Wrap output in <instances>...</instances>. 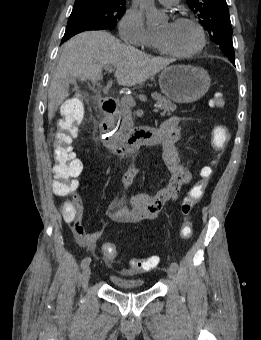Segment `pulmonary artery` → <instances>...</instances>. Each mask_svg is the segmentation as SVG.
Here are the masks:
<instances>
[{"label": "pulmonary artery", "instance_id": "e3ab8cb5", "mask_svg": "<svg viewBox=\"0 0 261 340\" xmlns=\"http://www.w3.org/2000/svg\"><path fill=\"white\" fill-rule=\"evenodd\" d=\"M161 4L163 5H174L176 4L179 0H158Z\"/></svg>", "mask_w": 261, "mask_h": 340}]
</instances>
